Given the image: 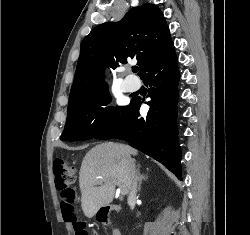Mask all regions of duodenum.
I'll return each instance as SVG.
<instances>
[{
    "label": "duodenum",
    "mask_w": 250,
    "mask_h": 235,
    "mask_svg": "<svg viewBox=\"0 0 250 235\" xmlns=\"http://www.w3.org/2000/svg\"><path fill=\"white\" fill-rule=\"evenodd\" d=\"M118 210H119V206L118 205H112V206L106 208L105 210H103L101 222H106L107 217H108V215H109L110 212H112V211H118ZM113 235H121L120 230L119 229H114L113 230Z\"/></svg>",
    "instance_id": "410a0bca"
}]
</instances>
